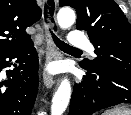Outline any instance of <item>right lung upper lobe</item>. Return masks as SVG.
I'll list each match as a JSON object with an SVG mask.
<instances>
[{
  "label": "right lung upper lobe",
  "mask_w": 131,
  "mask_h": 115,
  "mask_svg": "<svg viewBox=\"0 0 131 115\" xmlns=\"http://www.w3.org/2000/svg\"><path fill=\"white\" fill-rule=\"evenodd\" d=\"M41 14L36 0H0V53L31 43L25 30L37 22Z\"/></svg>",
  "instance_id": "obj_1"
}]
</instances>
